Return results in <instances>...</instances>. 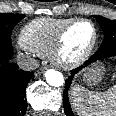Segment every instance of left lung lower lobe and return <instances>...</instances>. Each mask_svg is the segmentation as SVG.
Here are the masks:
<instances>
[{
    "instance_id": "0a47b994",
    "label": "left lung lower lobe",
    "mask_w": 116,
    "mask_h": 116,
    "mask_svg": "<svg viewBox=\"0 0 116 116\" xmlns=\"http://www.w3.org/2000/svg\"><path fill=\"white\" fill-rule=\"evenodd\" d=\"M115 56H116L115 49L108 51V52H104V53L97 52L93 56H91V58L87 61L86 65L88 66L98 60L109 58V57H115ZM79 70H81V68L72 70L71 76H69L68 79H66V81H65V89H64V93H63V106H64V111H65L66 116H74L71 106L69 104L68 92H69L70 86L72 84L73 77L76 73H78Z\"/></svg>"
}]
</instances>
